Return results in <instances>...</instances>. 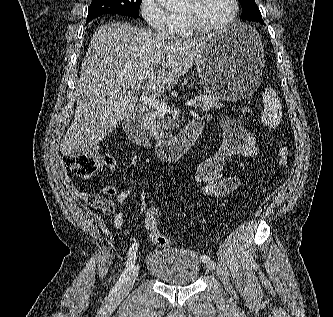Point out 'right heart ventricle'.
<instances>
[{
    "mask_svg": "<svg viewBox=\"0 0 333 317\" xmlns=\"http://www.w3.org/2000/svg\"><path fill=\"white\" fill-rule=\"evenodd\" d=\"M174 29L172 35L177 38H189L193 35V32L186 26L181 16L177 13L173 14Z\"/></svg>",
    "mask_w": 333,
    "mask_h": 317,
    "instance_id": "1",
    "label": "right heart ventricle"
}]
</instances>
